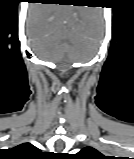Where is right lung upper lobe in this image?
I'll list each match as a JSON object with an SVG mask.
<instances>
[{
	"label": "right lung upper lobe",
	"instance_id": "obj_1",
	"mask_svg": "<svg viewBox=\"0 0 134 159\" xmlns=\"http://www.w3.org/2000/svg\"><path fill=\"white\" fill-rule=\"evenodd\" d=\"M15 151L26 156L25 159H30V156H33L38 149L30 143H24L14 148Z\"/></svg>",
	"mask_w": 134,
	"mask_h": 159
}]
</instances>
